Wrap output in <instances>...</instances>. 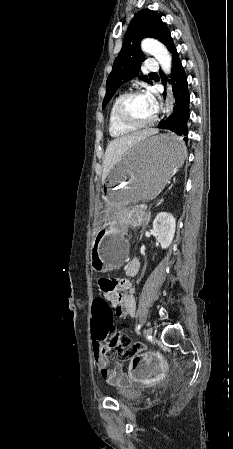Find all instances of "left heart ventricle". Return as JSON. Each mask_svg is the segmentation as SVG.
<instances>
[{"mask_svg": "<svg viewBox=\"0 0 233 449\" xmlns=\"http://www.w3.org/2000/svg\"><path fill=\"white\" fill-rule=\"evenodd\" d=\"M125 115L135 122L148 121L155 113V109L145 94L129 99L124 106Z\"/></svg>", "mask_w": 233, "mask_h": 449, "instance_id": "obj_1", "label": "left heart ventricle"}]
</instances>
